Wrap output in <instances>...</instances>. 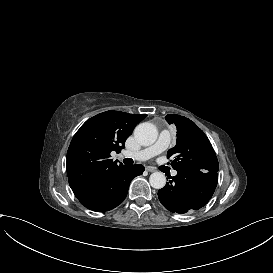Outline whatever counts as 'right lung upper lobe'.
Returning a JSON list of instances; mask_svg holds the SVG:
<instances>
[{
  "label": "right lung upper lobe",
  "mask_w": 273,
  "mask_h": 273,
  "mask_svg": "<svg viewBox=\"0 0 273 273\" xmlns=\"http://www.w3.org/2000/svg\"><path fill=\"white\" fill-rule=\"evenodd\" d=\"M147 115L106 111L87 120L76 132L67 151L70 187L80 197L110 172L123 166L110 159L111 151L124 148L135 126Z\"/></svg>",
  "instance_id": "cb5924a9"
}]
</instances>
